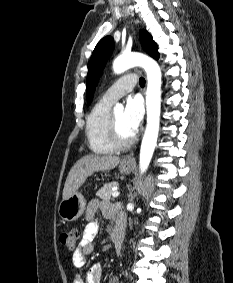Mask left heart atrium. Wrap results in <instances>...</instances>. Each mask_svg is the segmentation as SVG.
I'll use <instances>...</instances> for the list:
<instances>
[{"label":"left heart atrium","instance_id":"39dd6f15","mask_svg":"<svg viewBox=\"0 0 233 283\" xmlns=\"http://www.w3.org/2000/svg\"><path fill=\"white\" fill-rule=\"evenodd\" d=\"M144 106L142 99L138 96L129 97L124 110V120L128 130L134 134L143 119Z\"/></svg>","mask_w":233,"mask_h":283}]
</instances>
